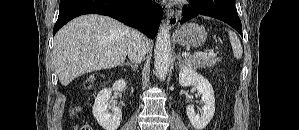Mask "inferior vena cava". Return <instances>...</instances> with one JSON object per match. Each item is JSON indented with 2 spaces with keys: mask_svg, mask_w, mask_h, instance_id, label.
<instances>
[{
  "mask_svg": "<svg viewBox=\"0 0 299 130\" xmlns=\"http://www.w3.org/2000/svg\"><path fill=\"white\" fill-rule=\"evenodd\" d=\"M146 54L144 36L137 30H132L127 55L133 63H141Z\"/></svg>",
  "mask_w": 299,
  "mask_h": 130,
  "instance_id": "inferior-vena-cava-1",
  "label": "inferior vena cava"
}]
</instances>
